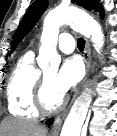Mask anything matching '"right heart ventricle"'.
Here are the masks:
<instances>
[{
    "mask_svg": "<svg viewBox=\"0 0 117 136\" xmlns=\"http://www.w3.org/2000/svg\"><path fill=\"white\" fill-rule=\"evenodd\" d=\"M40 77L41 72L34 64L33 53H25L19 59L7 83V103L11 114L23 118L39 116L34 104V95Z\"/></svg>",
    "mask_w": 117,
    "mask_h": 136,
    "instance_id": "obj_1",
    "label": "right heart ventricle"
}]
</instances>
